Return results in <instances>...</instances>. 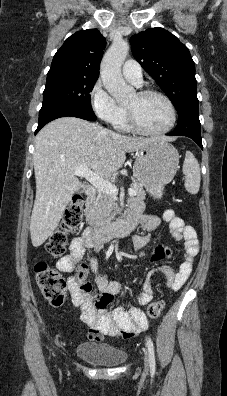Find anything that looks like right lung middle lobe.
<instances>
[{
  "mask_svg": "<svg viewBox=\"0 0 227 396\" xmlns=\"http://www.w3.org/2000/svg\"><path fill=\"white\" fill-rule=\"evenodd\" d=\"M96 80V77L65 72L48 73L42 108L55 104H69L95 116L91 107L90 92Z\"/></svg>",
  "mask_w": 227,
  "mask_h": 396,
  "instance_id": "1",
  "label": "right lung middle lobe"
}]
</instances>
